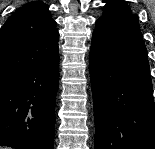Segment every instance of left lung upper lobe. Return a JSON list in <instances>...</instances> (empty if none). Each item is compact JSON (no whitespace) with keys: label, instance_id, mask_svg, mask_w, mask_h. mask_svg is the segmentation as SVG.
Segmentation results:
<instances>
[{"label":"left lung upper lobe","instance_id":"5c2ea615","mask_svg":"<svg viewBox=\"0 0 155 149\" xmlns=\"http://www.w3.org/2000/svg\"><path fill=\"white\" fill-rule=\"evenodd\" d=\"M103 2H106L104 14L98 20L132 14L130 8L123 0H104Z\"/></svg>","mask_w":155,"mask_h":149}]
</instances>
